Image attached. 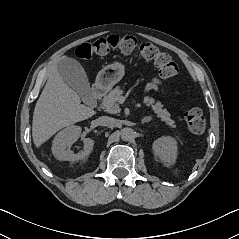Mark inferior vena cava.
Here are the masks:
<instances>
[{
    "mask_svg": "<svg viewBox=\"0 0 239 239\" xmlns=\"http://www.w3.org/2000/svg\"><path fill=\"white\" fill-rule=\"evenodd\" d=\"M99 125L101 126H110L114 124L115 119L109 116H101L97 119Z\"/></svg>",
    "mask_w": 239,
    "mask_h": 239,
    "instance_id": "inferior-vena-cava-1",
    "label": "inferior vena cava"
}]
</instances>
